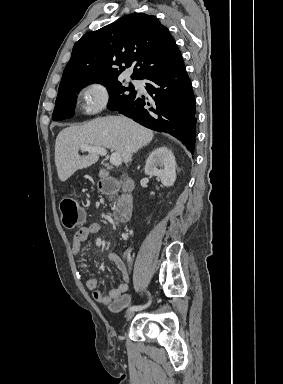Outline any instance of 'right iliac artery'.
Returning a JSON list of instances; mask_svg holds the SVG:
<instances>
[{
    "instance_id": "obj_1",
    "label": "right iliac artery",
    "mask_w": 283,
    "mask_h": 384,
    "mask_svg": "<svg viewBox=\"0 0 283 384\" xmlns=\"http://www.w3.org/2000/svg\"><path fill=\"white\" fill-rule=\"evenodd\" d=\"M148 295L150 296V293H149V292H148ZM150 304H151V300H149V302H148L147 304H145V305L131 306L129 309L139 311V310H143V309H145V308L148 307Z\"/></svg>"
}]
</instances>
